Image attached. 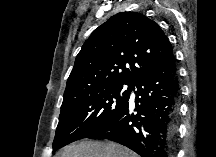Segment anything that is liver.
I'll return each instance as SVG.
<instances>
[{"mask_svg": "<svg viewBox=\"0 0 216 157\" xmlns=\"http://www.w3.org/2000/svg\"><path fill=\"white\" fill-rule=\"evenodd\" d=\"M58 157H137V154L114 142L83 141L66 146Z\"/></svg>", "mask_w": 216, "mask_h": 157, "instance_id": "obj_1", "label": "liver"}]
</instances>
